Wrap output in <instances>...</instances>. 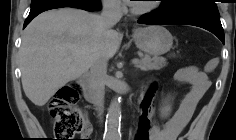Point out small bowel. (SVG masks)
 Here are the masks:
<instances>
[{
  "instance_id": "1",
  "label": "small bowel",
  "mask_w": 236,
  "mask_h": 140,
  "mask_svg": "<svg viewBox=\"0 0 236 140\" xmlns=\"http://www.w3.org/2000/svg\"><path fill=\"white\" fill-rule=\"evenodd\" d=\"M212 67L213 64L210 63L205 70L196 66H186L176 71L175 79L190 85V89L180 100L174 114L161 127H151L150 140H179V135L190 122L199 101L211 86L208 72ZM92 131V125L86 122L81 133L82 138H89Z\"/></svg>"
}]
</instances>
